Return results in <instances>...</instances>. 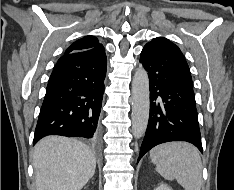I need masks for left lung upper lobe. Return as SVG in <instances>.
Instances as JSON below:
<instances>
[{"mask_svg": "<svg viewBox=\"0 0 234 190\" xmlns=\"http://www.w3.org/2000/svg\"><path fill=\"white\" fill-rule=\"evenodd\" d=\"M159 38H161V37L155 38L147 44H150ZM181 57H182V60L180 62L179 68H178L179 78H180L181 82L185 85V87L193 92V85H192V78H191L190 69H189V66H188L182 52H181Z\"/></svg>", "mask_w": 234, "mask_h": 190, "instance_id": "5c2ea615", "label": "left lung upper lobe"}]
</instances>
